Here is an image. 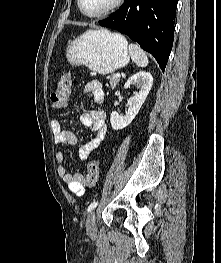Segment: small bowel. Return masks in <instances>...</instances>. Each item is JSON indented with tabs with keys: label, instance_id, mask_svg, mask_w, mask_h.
Returning <instances> with one entry per match:
<instances>
[{
	"label": "small bowel",
	"instance_id": "1",
	"mask_svg": "<svg viewBox=\"0 0 221 263\" xmlns=\"http://www.w3.org/2000/svg\"><path fill=\"white\" fill-rule=\"evenodd\" d=\"M85 93H89L96 103H102L104 101V91L102 84L97 80H92L85 85ZM105 113L103 111H93L90 113H82V124L95 134L93 140L84 145L79 150V157L82 160L87 159L90 154L96 150L101 142L104 140L107 133V126L105 122ZM53 132L55 134V144L59 148L65 146L75 145L77 138L75 134L63 126L59 121L52 122ZM57 173L61 180L67 185L68 189L75 193L78 197L84 192V177L80 172H68L64 165V155L61 150L57 152Z\"/></svg>",
	"mask_w": 221,
	"mask_h": 263
}]
</instances>
